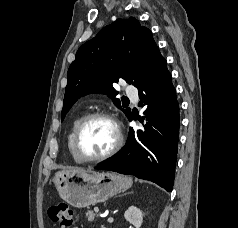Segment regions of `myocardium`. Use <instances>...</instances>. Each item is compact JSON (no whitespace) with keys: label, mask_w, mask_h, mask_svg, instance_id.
I'll return each mask as SVG.
<instances>
[{"label":"myocardium","mask_w":238,"mask_h":228,"mask_svg":"<svg viewBox=\"0 0 238 228\" xmlns=\"http://www.w3.org/2000/svg\"><path fill=\"white\" fill-rule=\"evenodd\" d=\"M99 118L106 119L113 124V126L115 128V132H116V141H115L114 145L111 147V149H109L104 154L96 156V157H85L80 153V149H79V141H80L81 134L89 122H91L94 119H99ZM122 144H123V135L121 132L120 125H119L118 121L115 119V117L112 114L105 112V111H94V112H91V113L85 115L79 122V124L75 130V133H74L73 151H74L75 156L81 162H99V161L108 159L109 157L116 154L122 147Z\"/></svg>","instance_id":"f54148a6"}]
</instances>
